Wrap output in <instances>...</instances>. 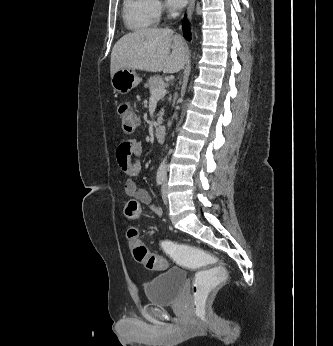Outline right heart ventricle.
Listing matches in <instances>:
<instances>
[{"instance_id": "e07e8e85", "label": "right heart ventricle", "mask_w": 333, "mask_h": 346, "mask_svg": "<svg viewBox=\"0 0 333 346\" xmlns=\"http://www.w3.org/2000/svg\"><path fill=\"white\" fill-rule=\"evenodd\" d=\"M124 23L130 30H145L155 24L150 0H124L123 2Z\"/></svg>"}]
</instances>
